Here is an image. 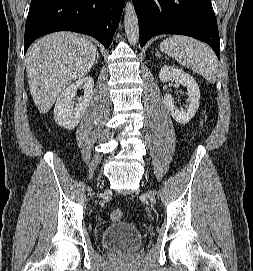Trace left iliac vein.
<instances>
[{"label": "left iliac vein", "instance_id": "obj_1", "mask_svg": "<svg viewBox=\"0 0 253 271\" xmlns=\"http://www.w3.org/2000/svg\"><path fill=\"white\" fill-rule=\"evenodd\" d=\"M147 196H148L149 198H152V193H151V192H148V193H147Z\"/></svg>", "mask_w": 253, "mask_h": 271}]
</instances>
